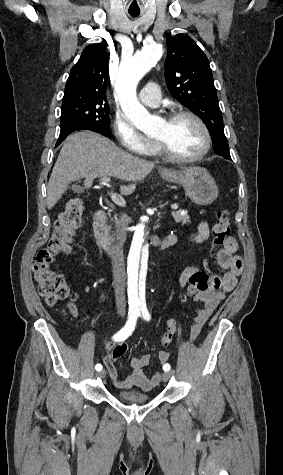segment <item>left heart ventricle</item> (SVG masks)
Segmentation results:
<instances>
[{
    "mask_svg": "<svg viewBox=\"0 0 283 475\" xmlns=\"http://www.w3.org/2000/svg\"><path fill=\"white\" fill-rule=\"evenodd\" d=\"M154 138L162 140L174 156L188 157L200 150L204 134L194 120L181 117L172 121L164 119Z\"/></svg>",
    "mask_w": 283,
    "mask_h": 475,
    "instance_id": "left-heart-ventricle-1",
    "label": "left heart ventricle"
}]
</instances>
